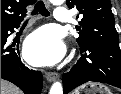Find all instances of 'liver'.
I'll list each match as a JSON object with an SVG mask.
<instances>
[{
  "instance_id": "6515ba94",
  "label": "liver",
  "mask_w": 121,
  "mask_h": 94,
  "mask_svg": "<svg viewBox=\"0 0 121 94\" xmlns=\"http://www.w3.org/2000/svg\"><path fill=\"white\" fill-rule=\"evenodd\" d=\"M1 94H23V93L15 85L1 79Z\"/></svg>"
}]
</instances>
